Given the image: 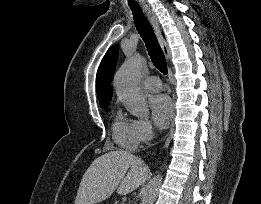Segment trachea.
Here are the masks:
<instances>
[{
    "label": "trachea",
    "instance_id": "trachea-1",
    "mask_svg": "<svg viewBox=\"0 0 261 204\" xmlns=\"http://www.w3.org/2000/svg\"><path fill=\"white\" fill-rule=\"evenodd\" d=\"M129 6L134 16L135 26L147 47L152 63L160 72H162L163 74H167L168 70L166 59L155 36L152 26L145 18L138 4H129Z\"/></svg>",
    "mask_w": 261,
    "mask_h": 204
}]
</instances>
